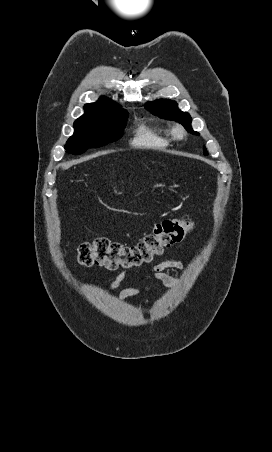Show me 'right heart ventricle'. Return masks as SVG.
<instances>
[{"instance_id": "1", "label": "right heart ventricle", "mask_w": 272, "mask_h": 452, "mask_svg": "<svg viewBox=\"0 0 272 452\" xmlns=\"http://www.w3.org/2000/svg\"><path fill=\"white\" fill-rule=\"evenodd\" d=\"M170 141V131L165 126L141 123L135 131L132 145L138 148L162 149L167 147Z\"/></svg>"}]
</instances>
